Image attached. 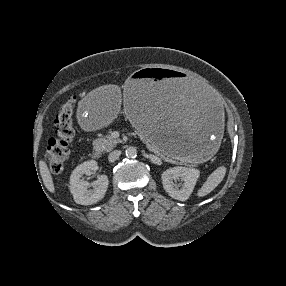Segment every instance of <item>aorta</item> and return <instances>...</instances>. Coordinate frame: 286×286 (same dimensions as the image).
Segmentation results:
<instances>
[{
    "label": "aorta",
    "mask_w": 286,
    "mask_h": 286,
    "mask_svg": "<svg viewBox=\"0 0 286 286\" xmlns=\"http://www.w3.org/2000/svg\"><path fill=\"white\" fill-rule=\"evenodd\" d=\"M126 156L130 158H135L137 156V149L134 146H129L126 149Z\"/></svg>",
    "instance_id": "obj_1"
}]
</instances>
